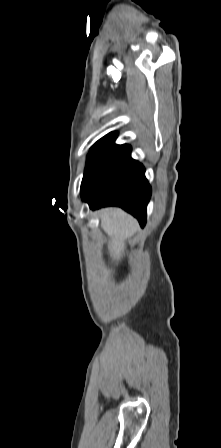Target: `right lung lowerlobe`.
<instances>
[{"label": "right lung lower lobe", "instance_id": "right-lung-lower-lobe-1", "mask_svg": "<svg viewBox=\"0 0 221 448\" xmlns=\"http://www.w3.org/2000/svg\"><path fill=\"white\" fill-rule=\"evenodd\" d=\"M130 153L129 145L113 149L81 188V197L93 210L119 206L135 216L143 227L151 187L143 165L133 160Z\"/></svg>", "mask_w": 221, "mask_h": 448}]
</instances>
